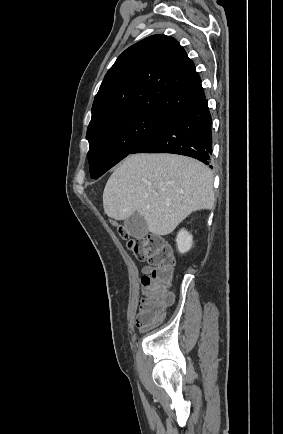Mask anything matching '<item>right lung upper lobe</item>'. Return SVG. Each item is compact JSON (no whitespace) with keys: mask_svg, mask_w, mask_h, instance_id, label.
Returning a JSON list of instances; mask_svg holds the SVG:
<instances>
[{"mask_svg":"<svg viewBox=\"0 0 283 434\" xmlns=\"http://www.w3.org/2000/svg\"><path fill=\"white\" fill-rule=\"evenodd\" d=\"M204 98L195 65L179 42L152 35L126 49L108 70L88 128L134 112L171 119Z\"/></svg>","mask_w":283,"mask_h":434,"instance_id":"obj_1","label":"right lung upper lobe"}]
</instances>
